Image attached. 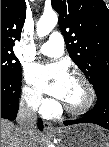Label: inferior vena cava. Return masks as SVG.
I'll use <instances>...</instances> for the list:
<instances>
[{"label": "inferior vena cava", "mask_w": 109, "mask_h": 147, "mask_svg": "<svg viewBox=\"0 0 109 147\" xmlns=\"http://www.w3.org/2000/svg\"><path fill=\"white\" fill-rule=\"evenodd\" d=\"M40 99V95L34 97V100ZM16 120L22 133V147H36L33 140L37 122L36 107L33 104L21 105Z\"/></svg>", "instance_id": "1"}]
</instances>
